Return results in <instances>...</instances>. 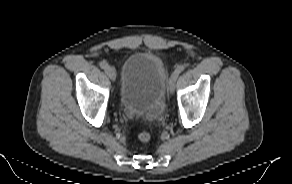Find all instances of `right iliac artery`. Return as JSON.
<instances>
[{
    "instance_id": "1",
    "label": "right iliac artery",
    "mask_w": 292,
    "mask_h": 184,
    "mask_svg": "<svg viewBox=\"0 0 292 184\" xmlns=\"http://www.w3.org/2000/svg\"><path fill=\"white\" fill-rule=\"evenodd\" d=\"M99 65L104 70H106L109 67L108 63L105 61L100 62Z\"/></svg>"
}]
</instances>
